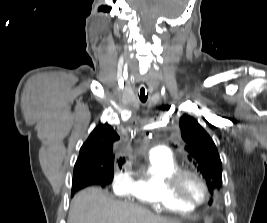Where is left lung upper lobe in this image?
Segmentation results:
<instances>
[{"instance_id": "left-lung-upper-lobe-1", "label": "left lung upper lobe", "mask_w": 267, "mask_h": 223, "mask_svg": "<svg viewBox=\"0 0 267 223\" xmlns=\"http://www.w3.org/2000/svg\"><path fill=\"white\" fill-rule=\"evenodd\" d=\"M179 125L182 138L186 142L185 149L189 153V158L206 180L209 191L219 190L222 186V164L212 138L189 115H183Z\"/></svg>"}]
</instances>
